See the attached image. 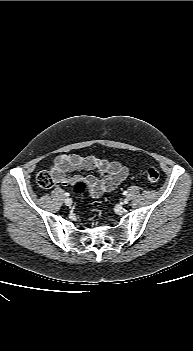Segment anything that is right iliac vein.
Masks as SVG:
<instances>
[{
    "label": "right iliac vein",
    "instance_id": "obj_1",
    "mask_svg": "<svg viewBox=\"0 0 193 351\" xmlns=\"http://www.w3.org/2000/svg\"><path fill=\"white\" fill-rule=\"evenodd\" d=\"M72 203H73V201H72L71 198H66V199H65V204H66L67 206H71Z\"/></svg>",
    "mask_w": 193,
    "mask_h": 351
}]
</instances>
